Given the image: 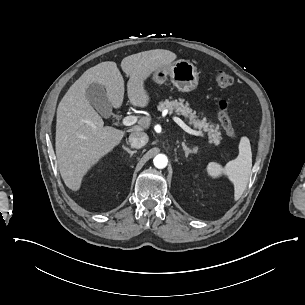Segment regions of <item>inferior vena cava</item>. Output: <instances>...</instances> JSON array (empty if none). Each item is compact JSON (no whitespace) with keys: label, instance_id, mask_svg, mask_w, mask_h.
Masks as SVG:
<instances>
[{"label":"inferior vena cava","instance_id":"inferior-vena-cava-1","mask_svg":"<svg viewBox=\"0 0 305 305\" xmlns=\"http://www.w3.org/2000/svg\"><path fill=\"white\" fill-rule=\"evenodd\" d=\"M148 140V135L144 132L131 133L129 136V142L131 144V147L137 149L146 145Z\"/></svg>","mask_w":305,"mask_h":305}]
</instances>
